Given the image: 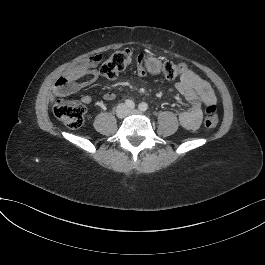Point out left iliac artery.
<instances>
[{"label":"left iliac artery","mask_w":265,"mask_h":265,"mask_svg":"<svg viewBox=\"0 0 265 265\" xmlns=\"http://www.w3.org/2000/svg\"><path fill=\"white\" fill-rule=\"evenodd\" d=\"M138 108L140 111H146V110H148V104L145 102H142L139 104Z\"/></svg>","instance_id":"left-iliac-artery-1"}]
</instances>
